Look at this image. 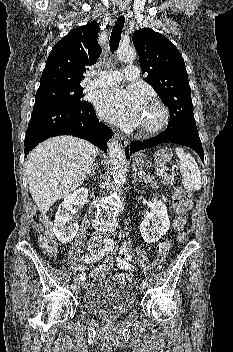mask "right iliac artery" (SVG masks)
I'll return each instance as SVG.
<instances>
[{
    "label": "right iliac artery",
    "mask_w": 233,
    "mask_h": 352,
    "mask_svg": "<svg viewBox=\"0 0 233 352\" xmlns=\"http://www.w3.org/2000/svg\"><path fill=\"white\" fill-rule=\"evenodd\" d=\"M109 250H110V247L105 246L102 250L98 251V252L95 253V254L83 256V257H82V260L85 261V262H87V263H92V262L98 261V260H100L107 252H109ZM70 288L74 290V289L76 288V285H75V284H71Z\"/></svg>",
    "instance_id": "1"
}]
</instances>
